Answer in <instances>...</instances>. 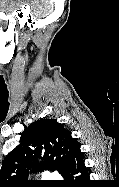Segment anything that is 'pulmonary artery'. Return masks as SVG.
Masks as SVG:
<instances>
[{
  "label": "pulmonary artery",
  "mask_w": 119,
  "mask_h": 187,
  "mask_svg": "<svg viewBox=\"0 0 119 187\" xmlns=\"http://www.w3.org/2000/svg\"><path fill=\"white\" fill-rule=\"evenodd\" d=\"M46 177L50 179H58L59 175L57 173H49Z\"/></svg>",
  "instance_id": "1"
}]
</instances>
